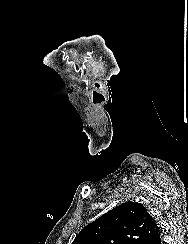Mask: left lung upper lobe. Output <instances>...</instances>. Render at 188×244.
<instances>
[{
    "label": "left lung upper lobe",
    "instance_id": "5c2ea615",
    "mask_svg": "<svg viewBox=\"0 0 188 244\" xmlns=\"http://www.w3.org/2000/svg\"><path fill=\"white\" fill-rule=\"evenodd\" d=\"M158 229L144 206L126 202L85 226L72 244H149Z\"/></svg>",
    "mask_w": 188,
    "mask_h": 244
}]
</instances>
